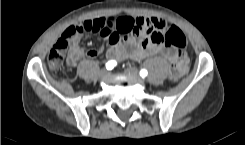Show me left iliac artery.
<instances>
[{
  "label": "left iliac artery",
  "mask_w": 245,
  "mask_h": 145,
  "mask_svg": "<svg viewBox=\"0 0 245 145\" xmlns=\"http://www.w3.org/2000/svg\"><path fill=\"white\" fill-rule=\"evenodd\" d=\"M147 74H148V72H147V70H146V69H141V70H140V76H141V77H143V78H144V77H146V76H147Z\"/></svg>",
  "instance_id": "left-iliac-artery-1"
}]
</instances>
